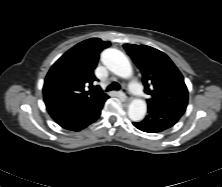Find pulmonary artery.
I'll return each instance as SVG.
<instances>
[{
	"instance_id": "obj_1",
	"label": "pulmonary artery",
	"mask_w": 222,
	"mask_h": 187,
	"mask_svg": "<svg viewBox=\"0 0 222 187\" xmlns=\"http://www.w3.org/2000/svg\"><path fill=\"white\" fill-rule=\"evenodd\" d=\"M130 92L134 95V96H143V91H142V88L140 86V84L138 82H133L131 85H130Z\"/></svg>"
}]
</instances>
